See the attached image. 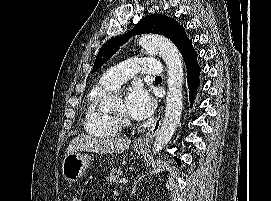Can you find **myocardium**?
I'll use <instances>...</instances> for the list:
<instances>
[{
	"instance_id": "myocardium-1",
	"label": "myocardium",
	"mask_w": 271,
	"mask_h": 201,
	"mask_svg": "<svg viewBox=\"0 0 271 201\" xmlns=\"http://www.w3.org/2000/svg\"><path fill=\"white\" fill-rule=\"evenodd\" d=\"M113 116L119 121L121 122L122 124H125V123H130V120L129 118L127 117V115L125 114H113Z\"/></svg>"
}]
</instances>
